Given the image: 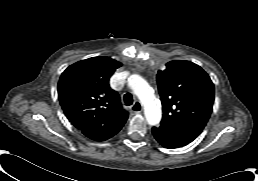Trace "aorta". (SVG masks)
<instances>
[{
    "instance_id": "aorta-1",
    "label": "aorta",
    "mask_w": 258,
    "mask_h": 181,
    "mask_svg": "<svg viewBox=\"0 0 258 181\" xmlns=\"http://www.w3.org/2000/svg\"><path fill=\"white\" fill-rule=\"evenodd\" d=\"M128 84L142 102L148 124H159L162 117L161 108L149 84L139 75H131Z\"/></svg>"
}]
</instances>
